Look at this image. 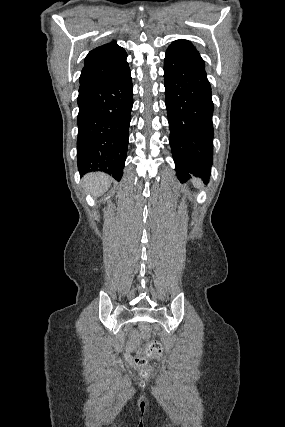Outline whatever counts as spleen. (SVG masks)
Masks as SVG:
<instances>
[{"label":"spleen","mask_w":285,"mask_h":427,"mask_svg":"<svg viewBox=\"0 0 285 427\" xmlns=\"http://www.w3.org/2000/svg\"><path fill=\"white\" fill-rule=\"evenodd\" d=\"M193 183H194L196 186H201V182H200L199 180L193 179Z\"/></svg>","instance_id":"3e777b00"}]
</instances>
